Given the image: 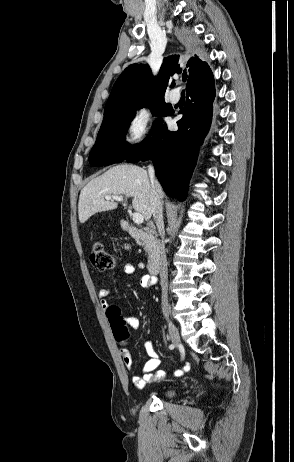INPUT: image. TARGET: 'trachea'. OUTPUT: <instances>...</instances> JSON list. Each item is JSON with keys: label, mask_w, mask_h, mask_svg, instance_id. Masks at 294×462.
Here are the masks:
<instances>
[{"label": "trachea", "mask_w": 294, "mask_h": 462, "mask_svg": "<svg viewBox=\"0 0 294 462\" xmlns=\"http://www.w3.org/2000/svg\"><path fill=\"white\" fill-rule=\"evenodd\" d=\"M182 80L186 81L187 80V75H183Z\"/></svg>", "instance_id": "trachea-1"}]
</instances>
